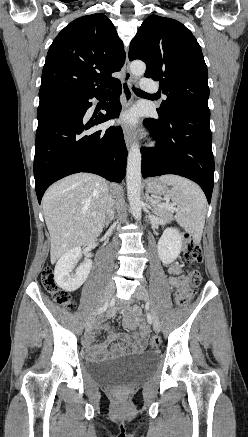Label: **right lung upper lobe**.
<instances>
[{
	"label": "right lung upper lobe",
	"mask_w": 248,
	"mask_h": 437,
	"mask_svg": "<svg viewBox=\"0 0 248 437\" xmlns=\"http://www.w3.org/2000/svg\"><path fill=\"white\" fill-rule=\"evenodd\" d=\"M125 62L113 23L96 13L75 19L54 39L43 67L39 95L51 91L90 94L116 79Z\"/></svg>",
	"instance_id": "cb5924a9"
}]
</instances>
